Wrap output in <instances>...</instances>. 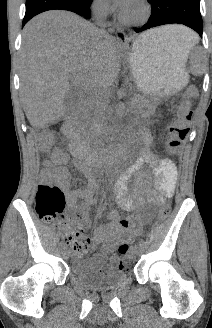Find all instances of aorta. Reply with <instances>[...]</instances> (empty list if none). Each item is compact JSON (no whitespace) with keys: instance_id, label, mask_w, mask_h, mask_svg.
I'll return each instance as SVG.
<instances>
[{"instance_id":"762f6f07","label":"aorta","mask_w":212,"mask_h":328,"mask_svg":"<svg viewBox=\"0 0 212 328\" xmlns=\"http://www.w3.org/2000/svg\"><path fill=\"white\" fill-rule=\"evenodd\" d=\"M116 162H120V159L119 158H117L116 159ZM113 174H112V179L113 180H119L120 179V176H122V174H123V171H122V169H121V167H114V169H113Z\"/></svg>"}]
</instances>
